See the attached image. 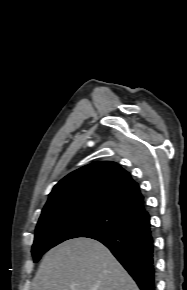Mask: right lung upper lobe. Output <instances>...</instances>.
<instances>
[{"label":"right lung upper lobe","mask_w":187,"mask_h":290,"mask_svg":"<svg viewBox=\"0 0 187 290\" xmlns=\"http://www.w3.org/2000/svg\"><path fill=\"white\" fill-rule=\"evenodd\" d=\"M80 206L106 207L130 223L148 216L138 184L112 161L93 162L64 177L54 186L41 216Z\"/></svg>","instance_id":"1"}]
</instances>
